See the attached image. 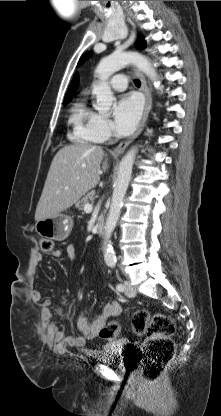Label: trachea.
I'll return each mask as SVG.
<instances>
[{
  "instance_id": "1",
  "label": "trachea",
  "mask_w": 221,
  "mask_h": 416,
  "mask_svg": "<svg viewBox=\"0 0 221 416\" xmlns=\"http://www.w3.org/2000/svg\"><path fill=\"white\" fill-rule=\"evenodd\" d=\"M134 84L137 86V87H139L140 86V80L139 79H136V80H134Z\"/></svg>"
}]
</instances>
